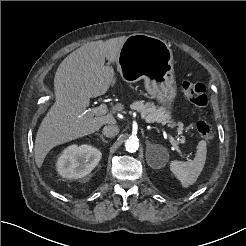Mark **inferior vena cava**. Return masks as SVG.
I'll return each instance as SVG.
<instances>
[{"mask_svg":"<svg viewBox=\"0 0 246 246\" xmlns=\"http://www.w3.org/2000/svg\"><path fill=\"white\" fill-rule=\"evenodd\" d=\"M102 133L104 136L112 138L119 133V127L117 125H114V124L106 125L103 128Z\"/></svg>","mask_w":246,"mask_h":246,"instance_id":"obj_1","label":"inferior vena cava"}]
</instances>
